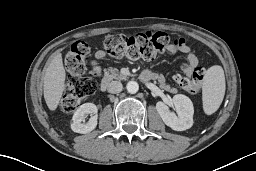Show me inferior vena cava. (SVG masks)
Instances as JSON below:
<instances>
[{"instance_id":"602c4592","label":"inferior vena cava","mask_w":256,"mask_h":171,"mask_svg":"<svg viewBox=\"0 0 256 171\" xmlns=\"http://www.w3.org/2000/svg\"><path fill=\"white\" fill-rule=\"evenodd\" d=\"M122 88H123V86L120 81H112L109 83L107 90L109 93L116 94V93L121 92Z\"/></svg>"}]
</instances>
